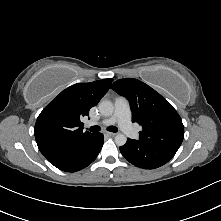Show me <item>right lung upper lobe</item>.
<instances>
[{
  "label": "right lung upper lobe",
  "mask_w": 221,
  "mask_h": 221,
  "mask_svg": "<svg viewBox=\"0 0 221 221\" xmlns=\"http://www.w3.org/2000/svg\"><path fill=\"white\" fill-rule=\"evenodd\" d=\"M113 79L74 84L51 101L37 118L34 135L39 150L50 163L66 150L94 133L83 132L82 117L88 116L109 90Z\"/></svg>",
  "instance_id": "cb5924a9"
}]
</instances>
